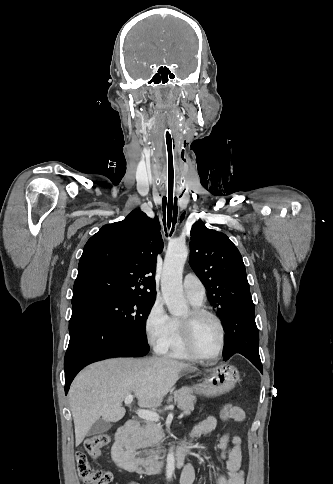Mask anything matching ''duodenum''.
Instances as JSON below:
<instances>
[{
    "label": "duodenum",
    "mask_w": 333,
    "mask_h": 484,
    "mask_svg": "<svg viewBox=\"0 0 333 484\" xmlns=\"http://www.w3.org/2000/svg\"><path fill=\"white\" fill-rule=\"evenodd\" d=\"M138 429L139 424L135 420H127L118 429L113 447L114 456L119 465L127 471L142 475L156 474L165 466L167 452L141 451L138 456H135V451L139 448V445L134 439V435ZM189 450V444L183 442L171 453L175 467L185 465Z\"/></svg>",
    "instance_id": "410a0bca"
}]
</instances>
